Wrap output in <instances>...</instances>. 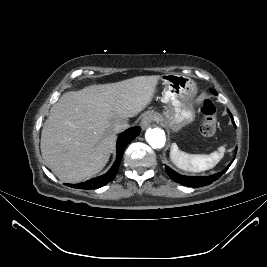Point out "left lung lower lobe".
I'll use <instances>...</instances> for the list:
<instances>
[{"mask_svg": "<svg viewBox=\"0 0 267 267\" xmlns=\"http://www.w3.org/2000/svg\"><path fill=\"white\" fill-rule=\"evenodd\" d=\"M211 91L214 92L213 90H211ZM229 115L231 116L232 122L235 125L233 117H232L230 112H229ZM236 150H237V148H236ZM231 163L228 165V167L225 170H223V171H221L219 173H216V174H214L212 176H206V177H187V176H183V175H180V174L176 173L175 171L170 169L168 166H165V171L167 172L169 177L172 180H174L175 182H177V183H180V184L185 185V186L201 187V186L209 185L212 182H214L215 180H217L219 177H221L226 172V170L229 168Z\"/></svg>", "mask_w": 267, "mask_h": 267, "instance_id": "left-lung-lower-lobe-1", "label": "left lung lower lobe"}]
</instances>
